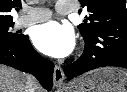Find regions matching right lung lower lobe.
I'll list each match as a JSON object with an SVG mask.
<instances>
[{
  "label": "right lung lower lobe",
  "mask_w": 127,
  "mask_h": 92,
  "mask_svg": "<svg viewBox=\"0 0 127 92\" xmlns=\"http://www.w3.org/2000/svg\"><path fill=\"white\" fill-rule=\"evenodd\" d=\"M0 63L35 75L45 89L51 90L54 65L32 48L27 35L17 42L0 40Z\"/></svg>",
  "instance_id": "98d812e1"
}]
</instances>
